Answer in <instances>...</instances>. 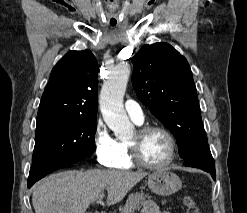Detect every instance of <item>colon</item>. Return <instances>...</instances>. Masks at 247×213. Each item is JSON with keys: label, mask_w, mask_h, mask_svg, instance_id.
Wrapping results in <instances>:
<instances>
[{"label": "colon", "mask_w": 247, "mask_h": 213, "mask_svg": "<svg viewBox=\"0 0 247 213\" xmlns=\"http://www.w3.org/2000/svg\"><path fill=\"white\" fill-rule=\"evenodd\" d=\"M184 204L186 207V213H200L198 207L191 197H185Z\"/></svg>", "instance_id": "colon-1"}]
</instances>
